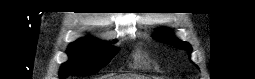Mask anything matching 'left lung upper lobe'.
<instances>
[{
	"label": "left lung upper lobe",
	"mask_w": 255,
	"mask_h": 79,
	"mask_svg": "<svg viewBox=\"0 0 255 79\" xmlns=\"http://www.w3.org/2000/svg\"><path fill=\"white\" fill-rule=\"evenodd\" d=\"M154 39L161 41L163 43H168L170 45L179 47L181 49H185L188 50L189 52L192 51L191 46L186 43V42H182L176 38H174L171 33L169 32V30L167 29H160L156 35L154 36Z\"/></svg>",
	"instance_id": "1"
}]
</instances>
